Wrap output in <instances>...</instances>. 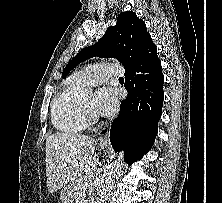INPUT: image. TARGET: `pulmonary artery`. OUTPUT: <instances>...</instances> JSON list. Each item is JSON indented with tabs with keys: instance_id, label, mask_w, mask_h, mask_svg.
<instances>
[{
	"instance_id": "e3ab8cb5",
	"label": "pulmonary artery",
	"mask_w": 222,
	"mask_h": 203,
	"mask_svg": "<svg viewBox=\"0 0 222 203\" xmlns=\"http://www.w3.org/2000/svg\"><path fill=\"white\" fill-rule=\"evenodd\" d=\"M124 68L118 64L100 63L76 72L72 78L83 86H95L110 77L123 76Z\"/></svg>"
}]
</instances>
